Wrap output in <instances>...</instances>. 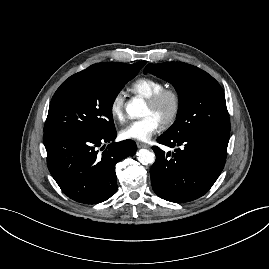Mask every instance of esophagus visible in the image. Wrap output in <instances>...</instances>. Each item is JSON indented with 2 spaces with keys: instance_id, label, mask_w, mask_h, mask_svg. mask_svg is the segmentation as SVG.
<instances>
[{
  "instance_id": "obj_1",
  "label": "esophagus",
  "mask_w": 269,
  "mask_h": 269,
  "mask_svg": "<svg viewBox=\"0 0 269 269\" xmlns=\"http://www.w3.org/2000/svg\"><path fill=\"white\" fill-rule=\"evenodd\" d=\"M137 147L138 148H148L149 145L148 144H145V143H142V142H137Z\"/></svg>"
}]
</instances>
